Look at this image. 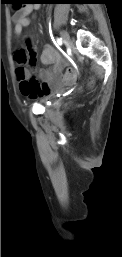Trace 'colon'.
<instances>
[{"mask_svg":"<svg viewBox=\"0 0 122 257\" xmlns=\"http://www.w3.org/2000/svg\"><path fill=\"white\" fill-rule=\"evenodd\" d=\"M9 10H22V5H9ZM29 57L24 50H20L16 53V60L18 63L23 64L28 61ZM74 67H64L62 71L64 85H69L70 87H75L78 83L77 72H74Z\"/></svg>","mask_w":122,"mask_h":257,"instance_id":"colon-1","label":"colon"}]
</instances>
